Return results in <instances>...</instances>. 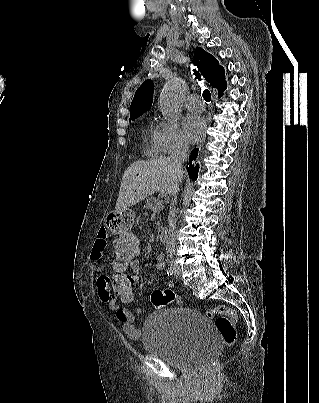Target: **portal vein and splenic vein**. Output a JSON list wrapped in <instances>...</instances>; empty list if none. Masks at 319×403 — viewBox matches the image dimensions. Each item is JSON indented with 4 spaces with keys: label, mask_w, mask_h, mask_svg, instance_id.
I'll return each mask as SVG.
<instances>
[{
    "label": "portal vein and splenic vein",
    "mask_w": 319,
    "mask_h": 403,
    "mask_svg": "<svg viewBox=\"0 0 319 403\" xmlns=\"http://www.w3.org/2000/svg\"><path fill=\"white\" fill-rule=\"evenodd\" d=\"M161 205H162V200H160V201L157 203L156 207H159V206H161Z\"/></svg>",
    "instance_id": "obj_1"
}]
</instances>
